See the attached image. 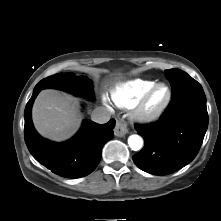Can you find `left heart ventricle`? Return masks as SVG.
<instances>
[{"label": "left heart ventricle", "mask_w": 221, "mask_h": 221, "mask_svg": "<svg viewBox=\"0 0 221 221\" xmlns=\"http://www.w3.org/2000/svg\"><path fill=\"white\" fill-rule=\"evenodd\" d=\"M167 96V90L165 87H159L149 101L148 107L150 109H156L159 107L165 100Z\"/></svg>", "instance_id": "left-heart-ventricle-1"}]
</instances>
